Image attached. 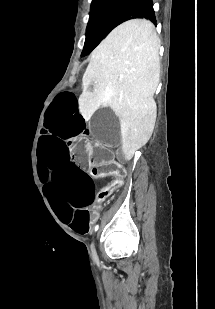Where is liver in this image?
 I'll return each instance as SVG.
<instances>
[{
	"label": "liver",
	"instance_id": "6515ba94",
	"mask_svg": "<svg viewBox=\"0 0 215 309\" xmlns=\"http://www.w3.org/2000/svg\"><path fill=\"white\" fill-rule=\"evenodd\" d=\"M159 46L151 20H126L94 48L83 74L80 112L85 120H90L99 106H110L114 110L120 120L126 161L146 144L153 132ZM89 84H94L93 92L88 90Z\"/></svg>",
	"mask_w": 215,
	"mask_h": 309
}]
</instances>
